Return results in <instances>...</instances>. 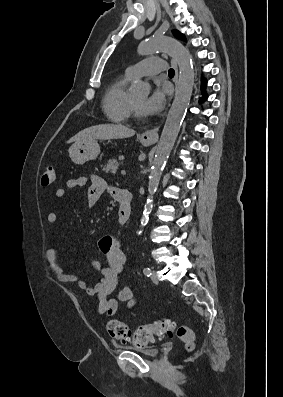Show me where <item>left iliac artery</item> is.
Listing matches in <instances>:
<instances>
[{"label":"left iliac artery","mask_w":283,"mask_h":397,"mask_svg":"<svg viewBox=\"0 0 283 397\" xmlns=\"http://www.w3.org/2000/svg\"><path fill=\"white\" fill-rule=\"evenodd\" d=\"M143 273H144L146 276L149 277V276L151 275V270H150V268L145 267L144 270H143Z\"/></svg>","instance_id":"44dca946"}]
</instances>
